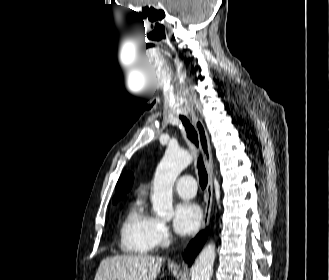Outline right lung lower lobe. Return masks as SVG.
I'll use <instances>...</instances> for the list:
<instances>
[{
	"label": "right lung lower lobe",
	"mask_w": 329,
	"mask_h": 280,
	"mask_svg": "<svg viewBox=\"0 0 329 280\" xmlns=\"http://www.w3.org/2000/svg\"><path fill=\"white\" fill-rule=\"evenodd\" d=\"M207 235H208V230L206 229L205 231L198 234L196 238L190 242L188 249L184 254V259L186 260V262H188L189 265L192 264L194 258L201 250L203 244L207 239Z\"/></svg>",
	"instance_id": "right-lung-lower-lobe-1"
}]
</instances>
